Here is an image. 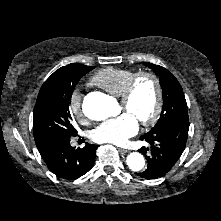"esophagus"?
Listing matches in <instances>:
<instances>
[{"instance_id": "obj_1", "label": "esophagus", "mask_w": 221, "mask_h": 221, "mask_svg": "<svg viewBox=\"0 0 221 221\" xmlns=\"http://www.w3.org/2000/svg\"><path fill=\"white\" fill-rule=\"evenodd\" d=\"M118 150H119L120 152H122V153H127V152H129L127 149H122V148H118Z\"/></svg>"}]
</instances>
